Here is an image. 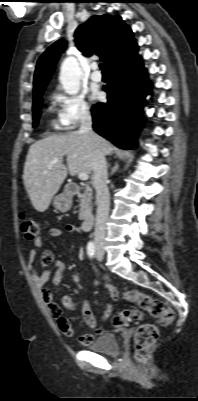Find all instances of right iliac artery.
Here are the masks:
<instances>
[{
	"label": "right iliac artery",
	"mask_w": 198,
	"mask_h": 401,
	"mask_svg": "<svg viewBox=\"0 0 198 401\" xmlns=\"http://www.w3.org/2000/svg\"><path fill=\"white\" fill-rule=\"evenodd\" d=\"M87 254L89 257L93 258L95 254V244L93 242H89L87 245Z\"/></svg>",
	"instance_id": "right-iliac-artery-1"
}]
</instances>
